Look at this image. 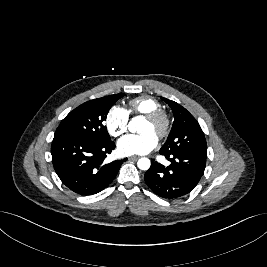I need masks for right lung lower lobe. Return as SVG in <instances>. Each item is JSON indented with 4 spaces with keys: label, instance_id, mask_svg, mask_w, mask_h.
Masks as SVG:
<instances>
[{
    "label": "right lung lower lobe",
    "instance_id": "obj_1",
    "mask_svg": "<svg viewBox=\"0 0 267 267\" xmlns=\"http://www.w3.org/2000/svg\"><path fill=\"white\" fill-rule=\"evenodd\" d=\"M115 143L54 138L51 146L52 162L62 183L73 192L87 196L105 189L116 177L121 164L127 160L105 163Z\"/></svg>",
    "mask_w": 267,
    "mask_h": 267
}]
</instances>
